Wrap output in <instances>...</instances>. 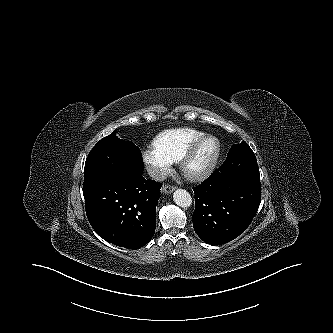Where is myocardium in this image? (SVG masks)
<instances>
[{"mask_svg": "<svg viewBox=\"0 0 333 333\" xmlns=\"http://www.w3.org/2000/svg\"><path fill=\"white\" fill-rule=\"evenodd\" d=\"M209 141L214 143V150L211 156L200 167H193V162L200 149ZM220 153L221 144L219 140L215 136L204 135L189 147L181 159V170L184 176L191 181H199L206 178L217 165Z\"/></svg>", "mask_w": 333, "mask_h": 333, "instance_id": "1", "label": "myocardium"}]
</instances>
